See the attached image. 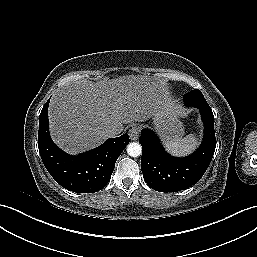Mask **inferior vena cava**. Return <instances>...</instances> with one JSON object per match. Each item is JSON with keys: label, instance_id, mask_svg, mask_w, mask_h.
Here are the masks:
<instances>
[{"label": "inferior vena cava", "instance_id": "602c4592", "mask_svg": "<svg viewBox=\"0 0 257 257\" xmlns=\"http://www.w3.org/2000/svg\"><path fill=\"white\" fill-rule=\"evenodd\" d=\"M117 134H118V133H117V131H115V130H109V131L106 132V136H107L108 138H110V137H116Z\"/></svg>", "mask_w": 257, "mask_h": 257}]
</instances>
